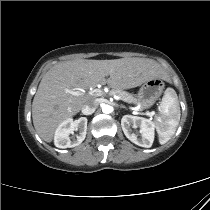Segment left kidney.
I'll return each instance as SVG.
<instances>
[{
	"label": "left kidney",
	"mask_w": 210,
	"mask_h": 210,
	"mask_svg": "<svg viewBox=\"0 0 210 210\" xmlns=\"http://www.w3.org/2000/svg\"><path fill=\"white\" fill-rule=\"evenodd\" d=\"M121 126L125 136L138 146L149 148L154 141V123L143 117L124 115L121 119ZM133 128H139L141 139L137 138V135L132 132Z\"/></svg>",
	"instance_id": "left-kidney-1"
}]
</instances>
